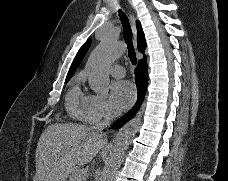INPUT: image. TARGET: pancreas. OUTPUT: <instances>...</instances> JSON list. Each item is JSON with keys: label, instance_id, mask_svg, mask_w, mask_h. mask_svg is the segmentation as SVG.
I'll return each mask as SVG.
<instances>
[{"label": "pancreas", "instance_id": "pancreas-1", "mask_svg": "<svg viewBox=\"0 0 228 181\" xmlns=\"http://www.w3.org/2000/svg\"><path fill=\"white\" fill-rule=\"evenodd\" d=\"M81 175H84V173H82V169H79V167H76V169H73V171H71V175L69 179L70 181H85V177L84 179H80Z\"/></svg>", "mask_w": 228, "mask_h": 181}]
</instances>
